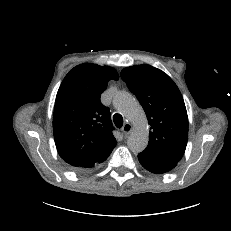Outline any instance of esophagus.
<instances>
[{"mask_svg": "<svg viewBox=\"0 0 231 231\" xmlns=\"http://www.w3.org/2000/svg\"><path fill=\"white\" fill-rule=\"evenodd\" d=\"M132 125L130 123H125L124 126L122 127V132L125 135H129L132 131Z\"/></svg>", "mask_w": 231, "mask_h": 231, "instance_id": "obj_1", "label": "esophagus"}]
</instances>
